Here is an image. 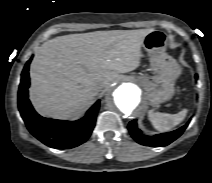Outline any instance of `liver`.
Wrapping results in <instances>:
<instances>
[{
    "label": "liver",
    "mask_w": 212,
    "mask_h": 183,
    "mask_svg": "<svg viewBox=\"0 0 212 183\" xmlns=\"http://www.w3.org/2000/svg\"><path fill=\"white\" fill-rule=\"evenodd\" d=\"M154 29L95 31L44 42L30 65V100L47 117L77 116L119 73L140 66L145 36Z\"/></svg>",
    "instance_id": "6515ba94"
}]
</instances>
